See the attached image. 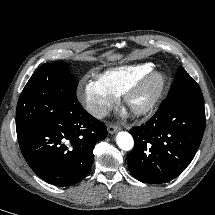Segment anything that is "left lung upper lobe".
I'll return each instance as SVG.
<instances>
[{
  "instance_id": "5c2ea615",
  "label": "left lung upper lobe",
  "mask_w": 215,
  "mask_h": 215,
  "mask_svg": "<svg viewBox=\"0 0 215 215\" xmlns=\"http://www.w3.org/2000/svg\"><path fill=\"white\" fill-rule=\"evenodd\" d=\"M167 98H184L203 102V95L196 81L189 76L183 67H179L174 84Z\"/></svg>"
}]
</instances>
